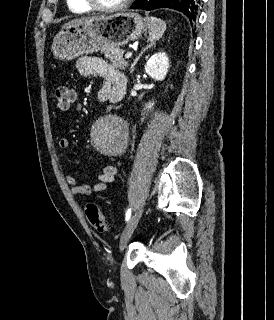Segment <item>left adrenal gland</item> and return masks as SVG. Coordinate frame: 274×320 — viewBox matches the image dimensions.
Masks as SVG:
<instances>
[{"mask_svg": "<svg viewBox=\"0 0 274 320\" xmlns=\"http://www.w3.org/2000/svg\"><path fill=\"white\" fill-rule=\"evenodd\" d=\"M149 48H156L155 42H151V44H148V46H146V48H143V50H142V52H140L139 56H137V58H135L133 64H131L130 74H133L134 66H135V64H137L138 60H140V56H142V54H144V52H146V50H149Z\"/></svg>", "mask_w": 274, "mask_h": 320, "instance_id": "obj_1", "label": "left adrenal gland"}]
</instances>
